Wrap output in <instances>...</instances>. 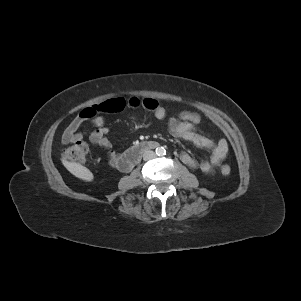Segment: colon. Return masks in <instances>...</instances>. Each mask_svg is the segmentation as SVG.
<instances>
[{
  "label": "colon",
  "instance_id": "1",
  "mask_svg": "<svg viewBox=\"0 0 301 301\" xmlns=\"http://www.w3.org/2000/svg\"><path fill=\"white\" fill-rule=\"evenodd\" d=\"M142 105L143 107L157 111L161 106L154 99H144L139 100L137 98H132L125 100L124 98H113L102 103L93 105L84 109L80 114L85 118H91L96 116L99 113H114L119 112L124 109L126 106L136 107ZM173 116L178 119H182L184 122H190L194 126H199L201 124L202 118L193 111H175ZM63 157L69 161L75 163H85L88 159L89 148L88 146L81 142L77 141L72 143L69 146H66L63 149ZM231 172L229 165H223L221 167V173L228 175Z\"/></svg>",
  "mask_w": 301,
  "mask_h": 301
}]
</instances>
